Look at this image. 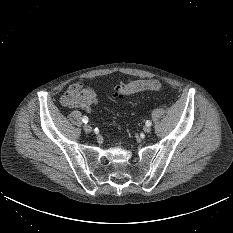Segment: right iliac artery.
I'll return each mask as SVG.
<instances>
[{"instance_id":"obj_1","label":"right iliac artery","mask_w":233,"mask_h":233,"mask_svg":"<svg viewBox=\"0 0 233 233\" xmlns=\"http://www.w3.org/2000/svg\"><path fill=\"white\" fill-rule=\"evenodd\" d=\"M82 121H83L85 124L88 123V117H87V116H83Z\"/></svg>"}]
</instances>
